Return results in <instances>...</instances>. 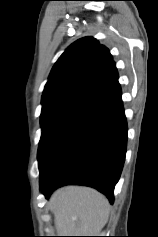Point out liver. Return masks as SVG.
<instances>
[{"label": "liver", "mask_w": 158, "mask_h": 237, "mask_svg": "<svg viewBox=\"0 0 158 237\" xmlns=\"http://www.w3.org/2000/svg\"><path fill=\"white\" fill-rule=\"evenodd\" d=\"M58 236H96L107 223L110 205L104 195L83 186L56 190L49 201Z\"/></svg>", "instance_id": "obj_1"}]
</instances>
